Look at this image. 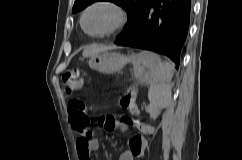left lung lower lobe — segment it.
<instances>
[{
  "mask_svg": "<svg viewBox=\"0 0 242 160\" xmlns=\"http://www.w3.org/2000/svg\"><path fill=\"white\" fill-rule=\"evenodd\" d=\"M190 13L191 0H148L130 32L115 43L166 55L179 66Z\"/></svg>",
  "mask_w": 242,
  "mask_h": 160,
  "instance_id": "1",
  "label": "left lung lower lobe"
}]
</instances>
